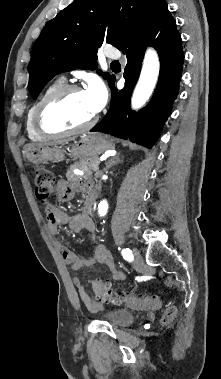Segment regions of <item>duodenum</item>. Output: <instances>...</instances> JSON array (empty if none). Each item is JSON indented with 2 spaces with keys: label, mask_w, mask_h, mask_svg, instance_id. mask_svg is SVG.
<instances>
[{
  "label": "duodenum",
  "mask_w": 221,
  "mask_h": 379,
  "mask_svg": "<svg viewBox=\"0 0 221 379\" xmlns=\"http://www.w3.org/2000/svg\"><path fill=\"white\" fill-rule=\"evenodd\" d=\"M94 200H95V192L90 189L89 190V194H88V198L86 200V203H85V212L86 213H90L93 209V205H94Z\"/></svg>",
  "instance_id": "duodenum-1"
}]
</instances>
